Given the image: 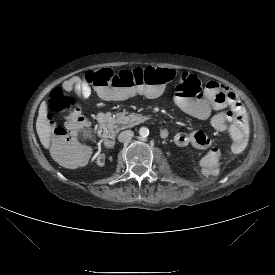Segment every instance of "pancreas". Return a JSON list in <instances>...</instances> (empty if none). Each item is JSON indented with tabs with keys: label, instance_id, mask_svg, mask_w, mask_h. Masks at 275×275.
<instances>
[{
	"label": "pancreas",
	"instance_id": "1",
	"mask_svg": "<svg viewBox=\"0 0 275 275\" xmlns=\"http://www.w3.org/2000/svg\"><path fill=\"white\" fill-rule=\"evenodd\" d=\"M142 116L136 113H128L126 111L116 113L113 123L117 130L133 127L140 123Z\"/></svg>",
	"mask_w": 275,
	"mask_h": 275
}]
</instances>
